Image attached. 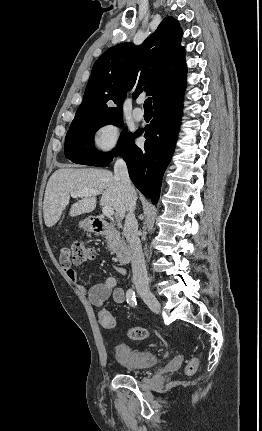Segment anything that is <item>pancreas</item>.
Returning a JSON list of instances; mask_svg holds the SVG:
<instances>
[{"label": "pancreas", "mask_w": 262, "mask_h": 431, "mask_svg": "<svg viewBox=\"0 0 262 431\" xmlns=\"http://www.w3.org/2000/svg\"><path fill=\"white\" fill-rule=\"evenodd\" d=\"M105 238L111 254L117 253L123 243L120 233L116 229H111L108 231Z\"/></svg>", "instance_id": "pancreas-1"}]
</instances>
